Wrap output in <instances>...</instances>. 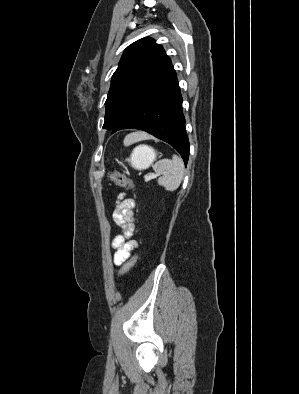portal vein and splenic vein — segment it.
<instances>
[{
  "mask_svg": "<svg viewBox=\"0 0 299 394\" xmlns=\"http://www.w3.org/2000/svg\"><path fill=\"white\" fill-rule=\"evenodd\" d=\"M157 176H158L157 174H153V175L147 176L146 177V181H148L151 178H156Z\"/></svg>",
  "mask_w": 299,
  "mask_h": 394,
  "instance_id": "portal-vein-and-splenic-vein-1",
  "label": "portal vein and splenic vein"
}]
</instances>
